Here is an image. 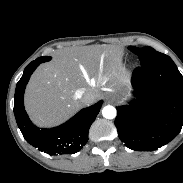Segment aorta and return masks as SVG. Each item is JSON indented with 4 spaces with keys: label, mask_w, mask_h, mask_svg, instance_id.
Listing matches in <instances>:
<instances>
[{
    "label": "aorta",
    "mask_w": 183,
    "mask_h": 183,
    "mask_svg": "<svg viewBox=\"0 0 183 183\" xmlns=\"http://www.w3.org/2000/svg\"><path fill=\"white\" fill-rule=\"evenodd\" d=\"M116 109L111 105H107L102 109V115L106 119H114L116 117Z\"/></svg>",
    "instance_id": "obj_1"
}]
</instances>
